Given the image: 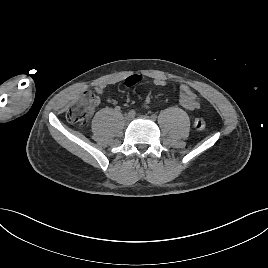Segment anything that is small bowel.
I'll return each instance as SVG.
<instances>
[{"mask_svg":"<svg viewBox=\"0 0 268 268\" xmlns=\"http://www.w3.org/2000/svg\"><path fill=\"white\" fill-rule=\"evenodd\" d=\"M142 80H143V77L141 75L135 74L126 78L125 84L131 87V86H135L139 84ZM153 84L156 86H165L166 80L162 77H154ZM107 87H108V84L104 83V84L97 86L95 89L97 93L102 94L104 93ZM150 103H151V98L147 96L145 99V104L148 106ZM179 103L183 108L190 110V111H194L200 108V103L197 100L196 94L186 84H181L179 86Z\"/></svg>","mask_w":268,"mask_h":268,"instance_id":"c3829d8e","label":"small bowel"}]
</instances>
